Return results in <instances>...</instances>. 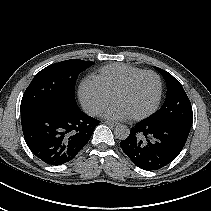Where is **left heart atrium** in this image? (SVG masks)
Segmentation results:
<instances>
[{"label":"left heart atrium","mask_w":211,"mask_h":211,"mask_svg":"<svg viewBox=\"0 0 211 211\" xmlns=\"http://www.w3.org/2000/svg\"><path fill=\"white\" fill-rule=\"evenodd\" d=\"M104 117L111 120H123L129 118L131 115L128 111L119 103H111L102 114Z\"/></svg>","instance_id":"39dd6f15"}]
</instances>
